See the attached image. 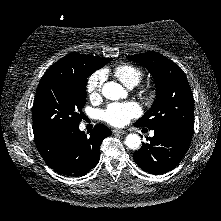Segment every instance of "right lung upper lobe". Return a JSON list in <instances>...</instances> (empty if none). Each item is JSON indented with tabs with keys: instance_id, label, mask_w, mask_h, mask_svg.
I'll return each mask as SVG.
<instances>
[{
	"instance_id": "right-lung-upper-lobe-1",
	"label": "right lung upper lobe",
	"mask_w": 221,
	"mask_h": 221,
	"mask_svg": "<svg viewBox=\"0 0 221 221\" xmlns=\"http://www.w3.org/2000/svg\"><path fill=\"white\" fill-rule=\"evenodd\" d=\"M110 58H99L79 53H71L54 63L46 72L47 74H72L82 75L85 71L91 74L109 62Z\"/></svg>"
}]
</instances>
